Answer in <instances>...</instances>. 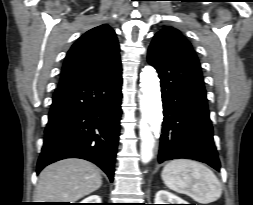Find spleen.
I'll list each match as a JSON object with an SVG mask.
<instances>
[{"mask_svg": "<svg viewBox=\"0 0 253 205\" xmlns=\"http://www.w3.org/2000/svg\"><path fill=\"white\" fill-rule=\"evenodd\" d=\"M161 177L168 188L186 194L200 204L214 202L222 194L221 184L213 171L193 160L170 161L164 166Z\"/></svg>", "mask_w": 253, "mask_h": 205, "instance_id": "spleen-1", "label": "spleen"}]
</instances>
